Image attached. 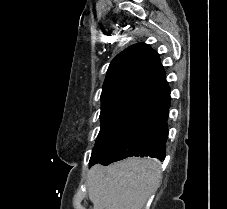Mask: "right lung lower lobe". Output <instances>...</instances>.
I'll list each match as a JSON object with an SVG mask.
<instances>
[{
	"label": "right lung lower lobe",
	"mask_w": 227,
	"mask_h": 209,
	"mask_svg": "<svg viewBox=\"0 0 227 209\" xmlns=\"http://www.w3.org/2000/svg\"><path fill=\"white\" fill-rule=\"evenodd\" d=\"M170 102L169 95L152 107L151 114L142 128L114 150L101 164L109 165L132 156H149L164 160L168 137L167 118Z\"/></svg>",
	"instance_id": "98d812e1"
}]
</instances>
